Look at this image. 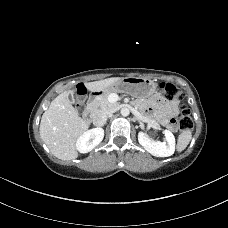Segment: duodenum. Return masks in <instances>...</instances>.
Here are the masks:
<instances>
[{
    "label": "duodenum",
    "mask_w": 228,
    "mask_h": 228,
    "mask_svg": "<svg viewBox=\"0 0 228 228\" xmlns=\"http://www.w3.org/2000/svg\"><path fill=\"white\" fill-rule=\"evenodd\" d=\"M100 95V93H96L95 95L91 96L89 101H88V104L86 106V110H85V113H84V119L85 121H90L91 120V109L93 107V104H94V101H95V98Z\"/></svg>",
    "instance_id": "duodenum-1"
}]
</instances>
